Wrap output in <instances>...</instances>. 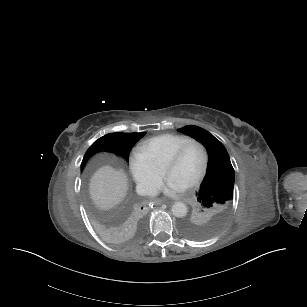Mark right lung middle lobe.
<instances>
[{
    "instance_id": "obj_1",
    "label": "right lung middle lobe",
    "mask_w": 307,
    "mask_h": 307,
    "mask_svg": "<svg viewBox=\"0 0 307 307\" xmlns=\"http://www.w3.org/2000/svg\"><path fill=\"white\" fill-rule=\"evenodd\" d=\"M145 135V133H110L98 140L87 150L81 167L83 168L87 160L97 152L110 151L128 159L131 147Z\"/></svg>"
}]
</instances>
